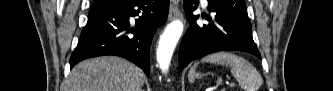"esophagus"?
I'll list each match as a JSON object with an SVG mask.
<instances>
[{
	"label": "esophagus",
	"mask_w": 333,
	"mask_h": 91,
	"mask_svg": "<svg viewBox=\"0 0 333 91\" xmlns=\"http://www.w3.org/2000/svg\"><path fill=\"white\" fill-rule=\"evenodd\" d=\"M179 0H171L170 5V12H169V21L175 20V19H183V14L181 10L178 7Z\"/></svg>",
	"instance_id": "34e87169"
}]
</instances>
